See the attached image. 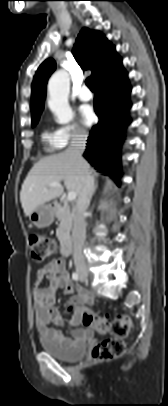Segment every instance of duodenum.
Here are the masks:
<instances>
[{
	"instance_id": "410a0bca",
	"label": "duodenum",
	"mask_w": 168,
	"mask_h": 406,
	"mask_svg": "<svg viewBox=\"0 0 168 406\" xmlns=\"http://www.w3.org/2000/svg\"><path fill=\"white\" fill-rule=\"evenodd\" d=\"M56 206V203H53ZM61 252L63 255H70L72 252V241L71 237L68 235L62 236L60 240Z\"/></svg>"
}]
</instances>
